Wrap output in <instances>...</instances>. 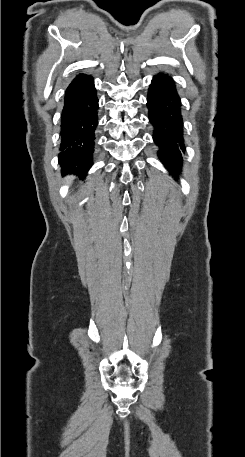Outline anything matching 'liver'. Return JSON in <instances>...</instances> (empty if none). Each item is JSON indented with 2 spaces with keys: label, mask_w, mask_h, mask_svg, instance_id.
<instances>
[{
  "label": "liver",
  "mask_w": 245,
  "mask_h": 457,
  "mask_svg": "<svg viewBox=\"0 0 245 457\" xmlns=\"http://www.w3.org/2000/svg\"><path fill=\"white\" fill-rule=\"evenodd\" d=\"M74 176H68L67 180H73Z\"/></svg>",
  "instance_id": "6515ba94"
}]
</instances>
